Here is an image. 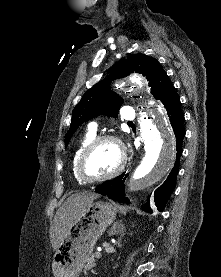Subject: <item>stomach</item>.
<instances>
[{
	"label": "stomach",
	"mask_w": 221,
	"mask_h": 277,
	"mask_svg": "<svg viewBox=\"0 0 221 277\" xmlns=\"http://www.w3.org/2000/svg\"><path fill=\"white\" fill-rule=\"evenodd\" d=\"M117 209L108 202L87 206L71 224L52 262L54 277H78L92 255L98 238L116 218Z\"/></svg>",
	"instance_id": "1"
}]
</instances>
